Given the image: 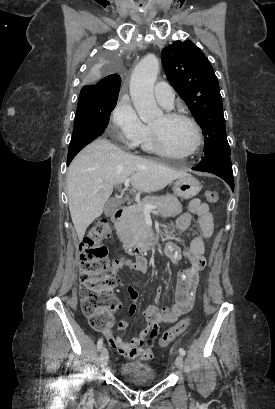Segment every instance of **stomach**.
<instances>
[{"label": "stomach", "mask_w": 275, "mask_h": 409, "mask_svg": "<svg viewBox=\"0 0 275 409\" xmlns=\"http://www.w3.org/2000/svg\"><path fill=\"white\" fill-rule=\"evenodd\" d=\"M201 188V182L192 174L180 176L175 180L173 186L176 196H181V198H192V196H196L200 192Z\"/></svg>", "instance_id": "stomach-1"}]
</instances>
